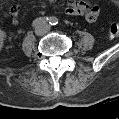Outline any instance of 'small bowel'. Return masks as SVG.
<instances>
[{
  "instance_id": "c3829d8e",
  "label": "small bowel",
  "mask_w": 119,
  "mask_h": 119,
  "mask_svg": "<svg viewBox=\"0 0 119 119\" xmlns=\"http://www.w3.org/2000/svg\"><path fill=\"white\" fill-rule=\"evenodd\" d=\"M66 13L72 16H84L88 22H95L99 16V8L84 1H66ZM19 13V7L13 6L7 13L14 24L17 23V16Z\"/></svg>"
}]
</instances>
